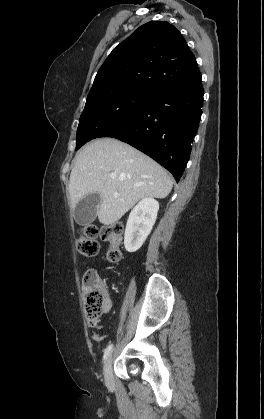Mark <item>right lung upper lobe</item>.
Masks as SVG:
<instances>
[{
  "instance_id": "cb5924a9",
  "label": "right lung upper lobe",
  "mask_w": 264,
  "mask_h": 419,
  "mask_svg": "<svg viewBox=\"0 0 264 419\" xmlns=\"http://www.w3.org/2000/svg\"><path fill=\"white\" fill-rule=\"evenodd\" d=\"M201 79L195 56L182 34L168 22L151 21L113 49L90 92L111 86H135L154 93L193 85Z\"/></svg>"
}]
</instances>
